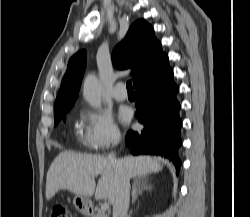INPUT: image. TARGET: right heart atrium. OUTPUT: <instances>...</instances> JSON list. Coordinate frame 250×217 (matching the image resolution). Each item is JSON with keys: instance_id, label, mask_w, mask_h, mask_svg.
Here are the masks:
<instances>
[{"instance_id": "1", "label": "right heart atrium", "mask_w": 250, "mask_h": 217, "mask_svg": "<svg viewBox=\"0 0 250 217\" xmlns=\"http://www.w3.org/2000/svg\"><path fill=\"white\" fill-rule=\"evenodd\" d=\"M79 118V140L88 150H104L119 141L120 132L110 113L83 107Z\"/></svg>"}]
</instances>
